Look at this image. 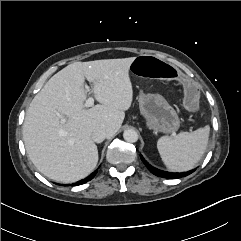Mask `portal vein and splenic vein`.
<instances>
[{"label":"portal vein and splenic vein","instance_id":"1","mask_svg":"<svg viewBox=\"0 0 241 241\" xmlns=\"http://www.w3.org/2000/svg\"><path fill=\"white\" fill-rule=\"evenodd\" d=\"M87 91H89V88H87ZM94 105V98L89 97L85 102V107H91Z\"/></svg>","mask_w":241,"mask_h":241}]
</instances>
